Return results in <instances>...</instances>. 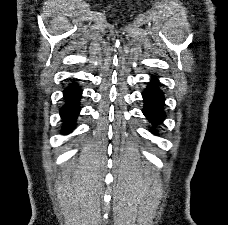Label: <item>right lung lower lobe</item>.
I'll use <instances>...</instances> for the list:
<instances>
[{"instance_id": "98d812e1", "label": "right lung lower lobe", "mask_w": 228, "mask_h": 225, "mask_svg": "<svg viewBox=\"0 0 228 225\" xmlns=\"http://www.w3.org/2000/svg\"><path fill=\"white\" fill-rule=\"evenodd\" d=\"M66 104L61 108L60 115L64 121L63 133H68L75 127V120L80 111L79 99L81 97V89L72 84L64 90Z\"/></svg>"}]
</instances>
